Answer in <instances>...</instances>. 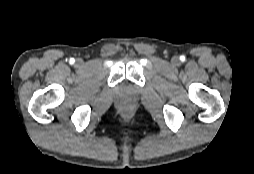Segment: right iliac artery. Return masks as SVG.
I'll return each mask as SVG.
<instances>
[{
  "label": "right iliac artery",
  "instance_id": "1",
  "mask_svg": "<svg viewBox=\"0 0 254 174\" xmlns=\"http://www.w3.org/2000/svg\"><path fill=\"white\" fill-rule=\"evenodd\" d=\"M72 62H74L75 60L74 59H71Z\"/></svg>",
  "mask_w": 254,
  "mask_h": 174
}]
</instances>
